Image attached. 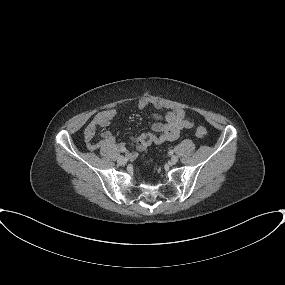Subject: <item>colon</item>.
<instances>
[{
	"label": "colon",
	"mask_w": 285,
	"mask_h": 285,
	"mask_svg": "<svg viewBox=\"0 0 285 285\" xmlns=\"http://www.w3.org/2000/svg\"><path fill=\"white\" fill-rule=\"evenodd\" d=\"M196 135L199 137V138H203L207 135V131L204 127L202 126H199L197 129H196Z\"/></svg>",
	"instance_id": "obj_1"
}]
</instances>
